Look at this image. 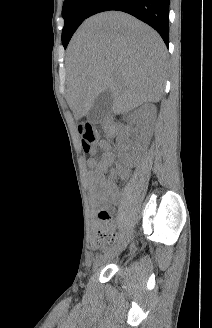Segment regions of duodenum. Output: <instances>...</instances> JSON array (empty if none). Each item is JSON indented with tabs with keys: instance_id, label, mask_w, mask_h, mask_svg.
<instances>
[{
	"instance_id": "410a0bca",
	"label": "duodenum",
	"mask_w": 212,
	"mask_h": 328,
	"mask_svg": "<svg viewBox=\"0 0 212 328\" xmlns=\"http://www.w3.org/2000/svg\"><path fill=\"white\" fill-rule=\"evenodd\" d=\"M104 127L105 130L111 135H114L117 131L116 122L112 118H106L104 120Z\"/></svg>"
}]
</instances>
